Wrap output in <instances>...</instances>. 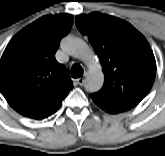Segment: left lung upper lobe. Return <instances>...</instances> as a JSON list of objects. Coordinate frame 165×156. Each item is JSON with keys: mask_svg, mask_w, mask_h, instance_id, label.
I'll list each match as a JSON object with an SVG mask.
<instances>
[{"mask_svg": "<svg viewBox=\"0 0 165 156\" xmlns=\"http://www.w3.org/2000/svg\"><path fill=\"white\" fill-rule=\"evenodd\" d=\"M75 24L88 36L105 75L102 89L92 95L121 111L135 107L156 75L155 57L145 37L128 22L97 12L76 16Z\"/></svg>", "mask_w": 165, "mask_h": 156, "instance_id": "5c2ea615", "label": "left lung upper lobe"}]
</instances>
